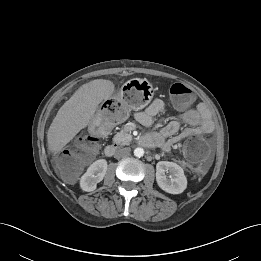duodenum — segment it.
Wrapping results in <instances>:
<instances>
[{
  "instance_id": "obj_1",
  "label": "duodenum",
  "mask_w": 261,
  "mask_h": 261,
  "mask_svg": "<svg viewBox=\"0 0 261 261\" xmlns=\"http://www.w3.org/2000/svg\"><path fill=\"white\" fill-rule=\"evenodd\" d=\"M141 144L144 146H152L153 145V140L149 136H144L140 139ZM116 152V146L113 144H109L105 147L104 153L108 157H112Z\"/></svg>"
}]
</instances>
